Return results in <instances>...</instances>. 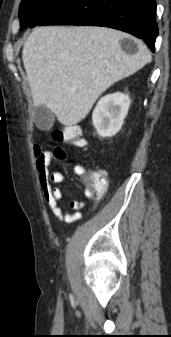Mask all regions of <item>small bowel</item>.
I'll list each match as a JSON object with an SVG mask.
<instances>
[{
  "mask_svg": "<svg viewBox=\"0 0 171 337\" xmlns=\"http://www.w3.org/2000/svg\"><path fill=\"white\" fill-rule=\"evenodd\" d=\"M53 158L54 155L52 151H42L40 148H36L34 154L35 166L38 174L39 185L43 192L44 201L51 213L60 222L77 221L82 217L80 210L84 207L85 201H71L70 208L75 211L74 213H71L69 210L62 208V191L55 185L63 183L66 180V176L63 172L60 171L50 172L49 166L53 161ZM74 171L81 178L82 183L85 185L84 194L86 198L92 199V191L85 181L86 170L82 166H76Z\"/></svg>",
  "mask_w": 171,
  "mask_h": 337,
  "instance_id": "obj_1",
  "label": "small bowel"
}]
</instances>
